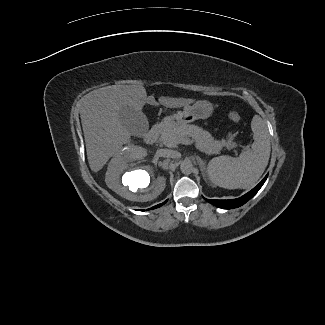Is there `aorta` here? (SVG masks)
<instances>
[{"mask_svg":"<svg viewBox=\"0 0 325 325\" xmlns=\"http://www.w3.org/2000/svg\"><path fill=\"white\" fill-rule=\"evenodd\" d=\"M180 170L183 174L189 175L192 173L193 164L189 160H185L181 163Z\"/></svg>","mask_w":325,"mask_h":325,"instance_id":"762f6f07","label":"aorta"}]
</instances>
